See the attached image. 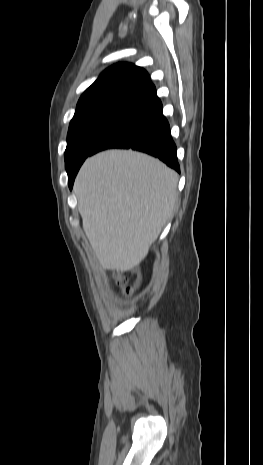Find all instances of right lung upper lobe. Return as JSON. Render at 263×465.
I'll use <instances>...</instances> for the list:
<instances>
[{"instance_id": "right-lung-upper-lobe-1", "label": "right lung upper lobe", "mask_w": 263, "mask_h": 465, "mask_svg": "<svg viewBox=\"0 0 263 465\" xmlns=\"http://www.w3.org/2000/svg\"><path fill=\"white\" fill-rule=\"evenodd\" d=\"M155 91L148 73L129 63H118L106 69L82 94L77 107L105 99H132Z\"/></svg>"}]
</instances>
